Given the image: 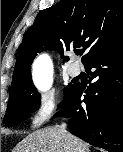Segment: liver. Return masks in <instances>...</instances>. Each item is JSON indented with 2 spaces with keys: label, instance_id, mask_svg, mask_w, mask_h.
Returning a JSON list of instances; mask_svg holds the SVG:
<instances>
[{
  "label": "liver",
  "instance_id": "6515ba94",
  "mask_svg": "<svg viewBox=\"0 0 123 152\" xmlns=\"http://www.w3.org/2000/svg\"><path fill=\"white\" fill-rule=\"evenodd\" d=\"M12 152H89V146L58 127H47L26 136Z\"/></svg>",
  "mask_w": 123,
  "mask_h": 152
}]
</instances>
